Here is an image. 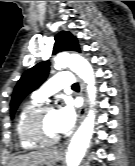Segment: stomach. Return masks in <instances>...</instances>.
I'll return each mask as SVG.
<instances>
[{"label":"stomach","mask_w":135,"mask_h":166,"mask_svg":"<svg viewBox=\"0 0 135 166\" xmlns=\"http://www.w3.org/2000/svg\"><path fill=\"white\" fill-rule=\"evenodd\" d=\"M50 157L46 161H38L33 166H53V163L60 159V152L58 150H50ZM13 166V165H12Z\"/></svg>","instance_id":"stomach-1"}]
</instances>
